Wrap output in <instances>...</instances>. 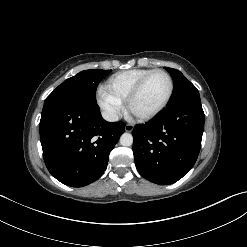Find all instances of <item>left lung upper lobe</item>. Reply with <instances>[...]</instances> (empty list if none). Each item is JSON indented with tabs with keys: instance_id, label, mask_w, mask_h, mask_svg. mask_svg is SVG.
<instances>
[{
	"instance_id": "5c2ea615",
	"label": "left lung upper lobe",
	"mask_w": 247,
	"mask_h": 247,
	"mask_svg": "<svg viewBox=\"0 0 247 247\" xmlns=\"http://www.w3.org/2000/svg\"><path fill=\"white\" fill-rule=\"evenodd\" d=\"M165 69L171 74L175 86L173 97L168 106L185 100L200 99L196 87L180 71L169 67H165Z\"/></svg>"
}]
</instances>
